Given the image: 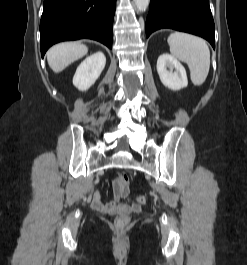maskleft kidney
Instances as JSON below:
<instances>
[{"label":"left kidney","mask_w":247,"mask_h":265,"mask_svg":"<svg viewBox=\"0 0 247 265\" xmlns=\"http://www.w3.org/2000/svg\"><path fill=\"white\" fill-rule=\"evenodd\" d=\"M173 69H175L174 72ZM157 72L163 85L173 91L180 90L188 85L185 68L170 54L165 53L159 56Z\"/></svg>","instance_id":"5707ae66"}]
</instances>
